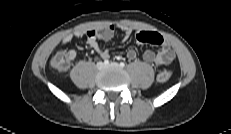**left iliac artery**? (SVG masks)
Returning a JSON list of instances; mask_svg holds the SVG:
<instances>
[{"label":"left iliac artery","instance_id":"1","mask_svg":"<svg viewBox=\"0 0 231 134\" xmlns=\"http://www.w3.org/2000/svg\"><path fill=\"white\" fill-rule=\"evenodd\" d=\"M120 67L124 68L125 67V63L121 62L120 63Z\"/></svg>","mask_w":231,"mask_h":134}]
</instances>
